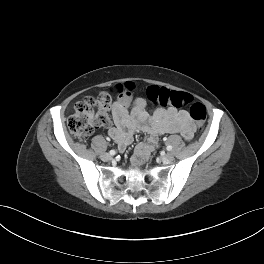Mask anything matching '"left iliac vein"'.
<instances>
[{"label":"left iliac vein","instance_id":"left-iliac-vein-1","mask_svg":"<svg viewBox=\"0 0 264 264\" xmlns=\"http://www.w3.org/2000/svg\"><path fill=\"white\" fill-rule=\"evenodd\" d=\"M174 160V154L169 152L162 156V161L166 164L171 163Z\"/></svg>","mask_w":264,"mask_h":264}]
</instances>
